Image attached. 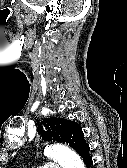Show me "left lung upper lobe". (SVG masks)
Instances as JSON below:
<instances>
[{"label":"left lung upper lobe","mask_w":127,"mask_h":168,"mask_svg":"<svg viewBox=\"0 0 127 168\" xmlns=\"http://www.w3.org/2000/svg\"><path fill=\"white\" fill-rule=\"evenodd\" d=\"M37 131L42 140L66 143L76 151L85 141L81 126L71 120L46 118L38 125Z\"/></svg>","instance_id":"obj_1"}]
</instances>
